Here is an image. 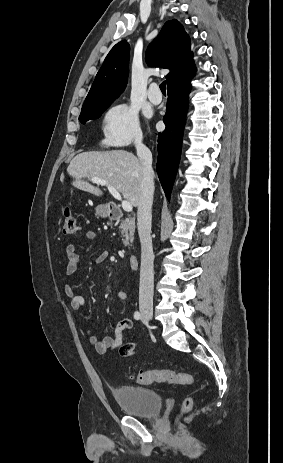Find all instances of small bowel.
<instances>
[{"mask_svg":"<svg viewBox=\"0 0 283 463\" xmlns=\"http://www.w3.org/2000/svg\"><path fill=\"white\" fill-rule=\"evenodd\" d=\"M86 237L90 241L96 240V233L89 231ZM65 255L67 259V265L65 268V276L72 278L76 271L79 262V255L74 244H68L65 248ZM108 257V252L104 251L99 253L95 257V263L100 264L104 262ZM65 294L69 298L71 308L79 311L85 306L83 297L77 295L74 291V287L71 284H66L64 287ZM116 297L119 301L126 303L128 301V294L125 291H118ZM134 323L130 319L121 320L115 327L114 336H106L102 339L98 338L91 330L87 329L86 333L89 338V342L95 347L99 354H105L112 352L116 349H120V354L124 357L132 356L135 353L136 344L134 341H128L124 343L123 333L127 330H132ZM122 349H125L122 352Z\"/></svg>","mask_w":283,"mask_h":463,"instance_id":"c3829d8e","label":"small bowel"}]
</instances>
